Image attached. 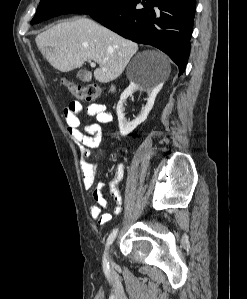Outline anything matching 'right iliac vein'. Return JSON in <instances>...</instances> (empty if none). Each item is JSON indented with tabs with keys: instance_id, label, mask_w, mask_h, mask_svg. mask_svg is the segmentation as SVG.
<instances>
[{
	"instance_id": "1",
	"label": "right iliac vein",
	"mask_w": 247,
	"mask_h": 299,
	"mask_svg": "<svg viewBox=\"0 0 247 299\" xmlns=\"http://www.w3.org/2000/svg\"><path fill=\"white\" fill-rule=\"evenodd\" d=\"M112 251H113V247L111 248V250H110V256H109V260L111 261V253H112Z\"/></svg>"
}]
</instances>
